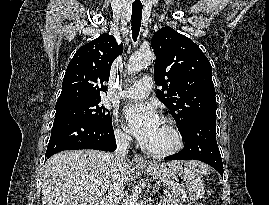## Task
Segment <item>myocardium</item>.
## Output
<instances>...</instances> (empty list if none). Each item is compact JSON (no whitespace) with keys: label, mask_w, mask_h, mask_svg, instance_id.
<instances>
[{"label":"myocardium","mask_w":269,"mask_h":205,"mask_svg":"<svg viewBox=\"0 0 269 205\" xmlns=\"http://www.w3.org/2000/svg\"><path fill=\"white\" fill-rule=\"evenodd\" d=\"M162 121L167 124L173 136L174 143L171 147L163 149V150H156V149L149 148L148 146H144V151L147 154L153 157H157V158H164V157L174 155L177 152H179L184 146V138H183L182 132L180 131L175 120L170 117H163Z\"/></svg>","instance_id":"obj_1"}]
</instances>
